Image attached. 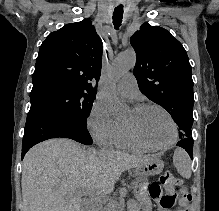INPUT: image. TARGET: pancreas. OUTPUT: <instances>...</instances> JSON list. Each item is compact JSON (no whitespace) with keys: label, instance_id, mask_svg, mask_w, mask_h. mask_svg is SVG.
Masks as SVG:
<instances>
[{"label":"pancreas","instance_id":"obj_1","mask_svg":"<svg viewBox=\"0 0 219 211\" xmlns=\"http://www.w3.org/2000/svg\"><path fill=\"white\" fill-rule=\"evenodd\" d=\"M124 204L126 203L125 201L123 202ZM127 211H138V209H140V207H142V202H136L135 199H128L127 200ZM108 209H115V207H112V205H110V207H108Z\"/></svg>","mask_w":219,"mask_h":211}]
</instances>
